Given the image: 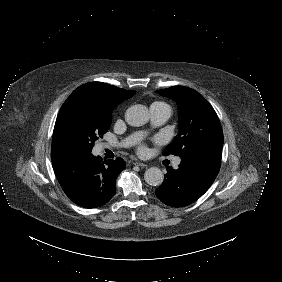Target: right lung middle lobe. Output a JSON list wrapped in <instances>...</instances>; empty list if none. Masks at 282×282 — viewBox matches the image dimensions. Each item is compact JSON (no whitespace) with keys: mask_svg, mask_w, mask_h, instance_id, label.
<instances>
[{"mask_svg":"<svg viewBox=\"0 0 282 282\" xmlns=\"http://www.w3.org/2000/svg\"><path fill=\"white\" fill-rule=\"evenodd\" d=\"M135 92L127 95L104 94L73 96L62 105L54 127L52 161L71 155L91 153L95 141L110 128L113 109Z\"/></svg>","mask_w":282,"mask_h":282,"instance_id":"1","label":"right lung middle lobe"}]
</instances>
